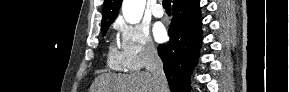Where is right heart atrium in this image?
I'll use <instances>...</instances> for the list:
<instances>
[{
    "instance_id": "right-heart-atrium-1",
    "label": "right heart atrium",
    "mask_w": 289,
    "mask_h": 92,
    "mask_svg": "<svg viewBox=\"0 0 289 92\" xmlns=\"http://www.w3.org/2000/svg\"><path fill=\"white\" fill-rule=\"evenodd\" d=\"M115 27L120 36V57L124 68L136 71L155 60L157 50L145 26L119 20Z\"/></svg>"
}]
</instances>
